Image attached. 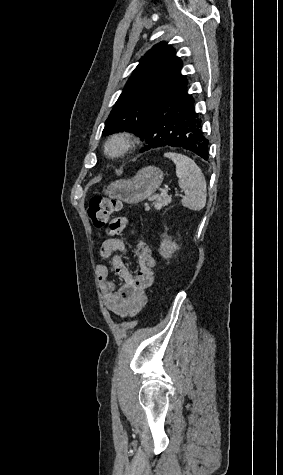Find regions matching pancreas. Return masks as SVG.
<instances>
[{"label":"pancreas","mask_w":283,"mask_h":475,"mask_svg":"<svg viewBox=\"0 0 283 475\" xmlns=\"http://www.w3.org/2000/svg\"><path fill=\"white\" fill-rule=\"evenodd\" d=\"M171 202H172V196H168L166 192H163V194H161V196H158L155 202H153V206L155 210H161L163 206H168V204H171ZM148 210H150V208L149 206H146V212H148Z\"/></svg>","instance_id":"obj_1"}]
</instances>
